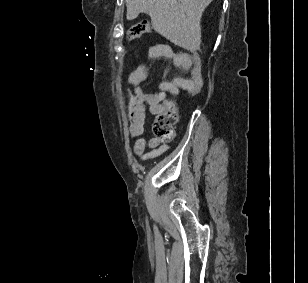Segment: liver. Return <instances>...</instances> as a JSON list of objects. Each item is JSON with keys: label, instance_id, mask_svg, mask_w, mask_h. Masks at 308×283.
Wrapping results in <instances>:
<instances>
[{"label": "liver", "instance_id": "6515ba94", "mask_svg": "<svg viewBox=\"0 0 308 283\" xmlns=\"http://www.w3.org/2000/svg\"><path fill=\"white\" fill-rule=\"evenodd\" d=\"M127 20L148 14L157 33L184 49L201 45V17L212 0H125Z\"/></svg>", "mask_w": 308, "mask_h": 283}]
</instances>
